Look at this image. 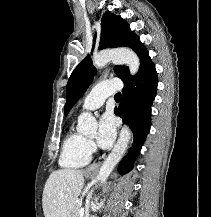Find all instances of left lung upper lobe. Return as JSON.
<instances>
[{"label": "left lung upper lobe", "mask_w": 211, "mask_h": 217, "mask_svg": "<svg viewBox=\"0 0 211 217\" xmlns=\"http://www.w3.org/2000/svg\"><path fill=\"white\" fill-rule=\"evenodd\" d=\"M122 46L130 47L140 58V69L138 74L146 67L153 64L146 47L140 42L139 38L132 33L129 25L124 21V19L110 12L104 13L101 20L99 49ZM114 72L123 82L135 77L129 76V69L125 66H116ZM95 73L96 69L89 56L85 57L74 69L67 83L66 104L64 108L65 115L68 114L73 105L87 90Z\"/></svg>", "instance_id": "obj_1"}]
</instances>
